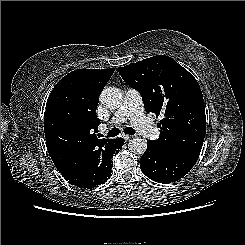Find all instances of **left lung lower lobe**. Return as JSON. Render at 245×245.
<instances>
[{
	"label": "left lung lower lobe",
	"instance_id": "left-lung-lower-lobe-1",
	"mask_svg": "<svg viewBox=\"0 0 245 245\" xmlns=\"http://www.w3.org/2000/svg\"><path fill=\"white\" fill-rule=\"evenodd\" d=\"M197 159L191 155L165 153L148 140L146 152L140 159V168L149 179L168 184L184 177Z\"/></svg>",
	"mask_w": 245,
	"mask_h": 245
}]
</instances>
